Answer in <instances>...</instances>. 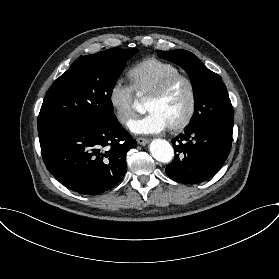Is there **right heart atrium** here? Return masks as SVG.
<instances>
[{"label":"right heart atrium","mask_w":279,"mask_h":279,"mask_svg":"<svg viewBox=\"0 0 279 279\" xmlns=\"http://www.w3.org/2000/svg\"><path fill=\"white\" fill-rule=\"evenodd\" d=\"M108 104L115 120L121 125H127L135 115L134 89L122 80H116L107 94Z\"/></svg>","instance_id":"right-heart-atrium-1"}]
</instances>
